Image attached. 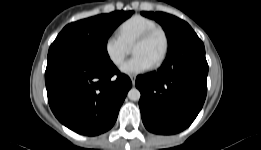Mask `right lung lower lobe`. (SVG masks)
<instances>
[{"mask_svg": "<svg viewBox=\"0 0 261 150\" xmlns=\"http://www.w3.org/2000/svg\"><path fill=\"white\" fill-rule=\"evenodd\" d=\"M48 102L56 118L78 134L109 130L132 86L112 61L54 60L45 72Z\"/></svg>", "mask_w": 261, "mask_h": 150, "instance_id": "98d812e1", "label": "right lung lower lobe"}]
</instances>
